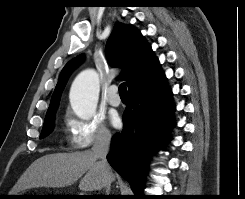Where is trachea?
<instances>
[{
  "instance_id": "1",
  "label": "trachea",
  "mask_w": 245,
  "mask_h": 199,
  "mask_svg": "<svg viewBox=\"0 0 245 199\" xmlns=\"http://www.w3.org/2000/svg\"><path fill=\"white\" fill-rule=\"evenodd\" d=\"M119 94L120 96H127V89H126V84L121 83L119 86Z\"/></svg>"
}]
</instances>
